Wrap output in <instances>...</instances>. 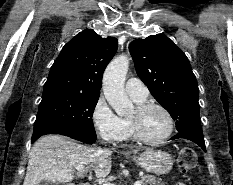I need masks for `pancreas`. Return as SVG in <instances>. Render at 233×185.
<instances>
[{"label": "pancreas", "mask_w": 233, "mask_h": 185, "mask_svg": "<svg viewBox=\"0 0 233 185\" xmlns=\"http://www.w3.org/2000/svg\"><path fill=\"white\" fill-rule=\"evenodd\" d=\"M139 179L143 185H165L161 178H156L149 174L142 175Z\"/></svg>", "instance_id": "pancreas-1"}]
</instances>
